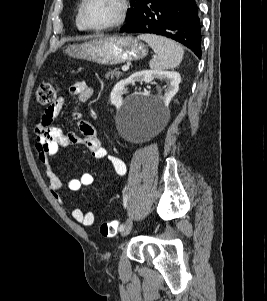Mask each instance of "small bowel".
Returning a JSON list of instances; mask_svg holds the SVG:
<instances>
[{"mask_svg":"<svg viewBox=\"0 0 267 301\" xmlns=\"http://www.w3.org/2000/svg\"><path fill=\"white\" fill-rule=\"evenodd\" d=\"M94 89L86 81H76L69 89V98H74L77 102L85 103L93 95ZM67 97H59L49 106L42 115L35 128V149L37 157L45 167V174L48 178V188L57 201H61L60 190L63 182L51 167V160L57 155L61 148L71 145L86 146L92 156L97 160H105L110 163L114 172L122 177L126 173V164L122 159L110 154L101 144L100 138L95 127L87 120L75 112L78 128L81 135L65 132L62 128L55 126L53 121L59 115ZM94 181L93 175L89 172L82 173L77 178H69L64 185L71 191H78L83 187L90 186ZM73 219L84 225L91 226L95 217L92 212H84L79 208L72 210Z\"/></svg>","mask_w":267,"mask_h":301,"instance_id":"1","label":"small bowel"}]
</instances>
